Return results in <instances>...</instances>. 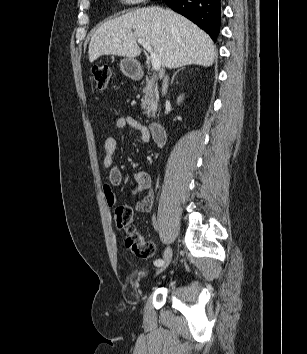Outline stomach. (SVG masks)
<instances>
[{
	"label": "stomach",
	"instance_id": "0dacf381",
	"mask_svg": "<svg viewBox=\"0 0 307 354\" xmlns=\"http://www.w3.org/2000/svg\"><path fill=\"white\" fill-rule=\"evenodd\" d=\"M120 69L122 73L132 79H136L141 75V67L139 62L134 58H124L120 61Z\"/></svg>",
	"mask_w": 307,
	"mask_h": 354
}]
</instances>
